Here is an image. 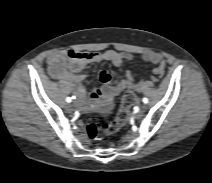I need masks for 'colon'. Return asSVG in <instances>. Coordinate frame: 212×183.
Wrapping results in <instances>:
<instances>
[{"instance_id":"1","label":"colon","mask_w":212,"mask_h":183,"mask_svg":"<svg viewBox=\"0 0 212 183\" xmlns=\"http://www.w3.org/2000/svg\"><path fill=\"white\" fill-rule=\"evenodd\" d=\"M135 101V95L132 91H127L117 110L116 114L108 121H94L88 125L87 131L90 138L97 139L118 131L126 121L128 112Z\"/></svg>"}]
</instances>
